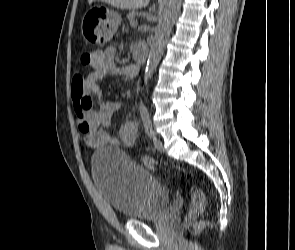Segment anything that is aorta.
Here are the masks:
<instances>
[{
  "label": "aorta",
  "instance_id": "obj_1",
  "mask_svg": "<svg viewBox=\"0 0 295 250\" xmlns=\"http://www.w3.org/2000/svg\"><path fill=\"white\" fill-rule=\"evenodd\" d=\"M182 0H166V5L159 18L158 25L155 30V36L149 58L146 65L144 82L147 83L156 69L161 55L163 53L166 42L169 38L172 26L177 18Z\"/></svg>",
  "mask_w": 295,
  "mask_h": 250
}]
</instances>
